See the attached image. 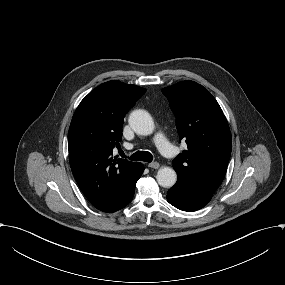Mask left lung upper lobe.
<instances>
[{
    "mask_svg": "<svg viewBox=\"0 0 285 285\" xmlns=\"http://www.w3.org/2000/svg\"><path fill=\"white\" fill-rule=\"evenodd\" d=\"M162 93L188 147L173 160L178 178L213 194L224 179L232 147L222 109L208 90L194 81L179 82L163 88Z\"/></svg>",
    "mask_w": 285,
    "mask_h": 285,
    "instance_id": "1",
    "label": "left lung upper lobe"
}]
</instances>
